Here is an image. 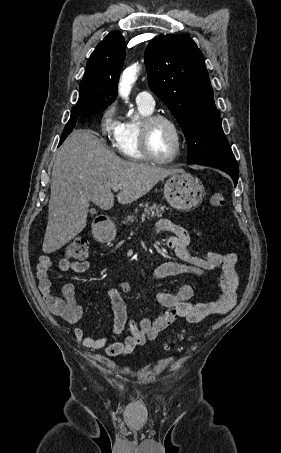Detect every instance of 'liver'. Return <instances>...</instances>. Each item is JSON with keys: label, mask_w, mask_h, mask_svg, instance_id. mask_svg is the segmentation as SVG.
Listing matches in <instances>:
<instances>
[{"label": "liver", "mask_w": 281, "mask_h": 453, "mask_svg": "<svg viewBox=\"0 0 281 453\" xmlns=\"http://www.w3.org/2000/svg\"><path fill=\"white\" fill-rule=\"evenodd\" d=\"M176 172L184 170L123 160L93 130H73L57 150L52 168L43 253H55L85 229L90 200L102 210H110L114 184L122 186L118 202L129 204Z\"/></svg>", "instance_id": "obj_1"}]
</instances>
